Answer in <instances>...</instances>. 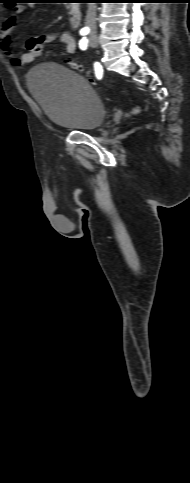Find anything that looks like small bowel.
I'll return each instance as SVG.
<instances>
[{"label": "small bowel", "mask_w": 190, "mask_h": 483, "mask_svg": "<svg viewBox=\"0 0 190 483\" xmlns=\"http://www.w3.org/2000/svg\"><path fill=\"white\" fill-rule=\"evenodd\" d=\"M25 9L26 7L23 5L17 6L5 19L0 29V48L10 63L18 67L26 66L40 55L42 49L46 45L54 42L64 44L68 54L75 53L77 47L75 38L71 33L63 31L58 33H48L28 39L25 43L26 52L20 57H17L11 48L10 35L16 27L19 16Z\"/></svg>", "instance_id": "c3829d8e"}]
</instances>
